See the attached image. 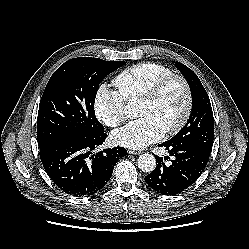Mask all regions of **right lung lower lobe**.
Instances as JSON below:
<instances>
[{"mask_svg":"<svg viewBox=\"0 0 249 249\" xmlns=\"http://www.w3.org/2000/svg\"><path fill=\"white\" fill-rule=\"evenodd\" d=\"M106 136L104 132L94 137L67 136L40 148L45 171L58 188L72 196L87 197L105 186L116 162L127 155L123 147L91 155Z\"/></svg>","mask_w":249,"mask_h":249,"instance_id":"obj_1","label":"right lung lower lobe"}]
</instances>
